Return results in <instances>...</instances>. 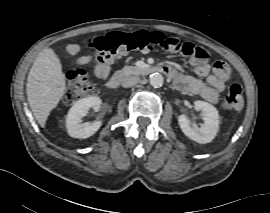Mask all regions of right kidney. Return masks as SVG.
<instances>
[{
    "label": "right kidney",
    "mask_w": 270,
    "mask_h": 213,
    "mask_svg": "<svg viewBox=\"0 0 270 213\" xmlns=\"http://www.w3.org/2000/svg\"><path fill=\"white\" fill-rule=\"evenodd\" d=\"M101 99L90 96L78 100L68 111L66 117V128L68 134L73 138L85 139L95 134L102 125L101 121L82 123V118L86 116L92 107H100Z\"/></svg>",
    "instance_id": "ca27d5eb"
}]
</instances>
